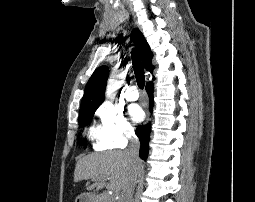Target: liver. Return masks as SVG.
Here are the masks:
<instances>
[{
  "label": "liver",
  "instance_id": "obj_1",
  "mask_svg": "<svg viewBox=\"0 0 255 202\" xmlns=\"http://www.w3.org/2000/svg\"><path fill=\"white\" fill-rule=\"evenodd\" d=\"M140 169L141 163L138 173ZM134 172L135 166L124 151L93 153L78 160L74 171V181L92 179L95 183L88 190L105 186L118 193L129 185ZM107 179L109 183H106Z\"/></svg>",
  "mask_w": 255,
  "mask_h": 202
}]
</instances>
